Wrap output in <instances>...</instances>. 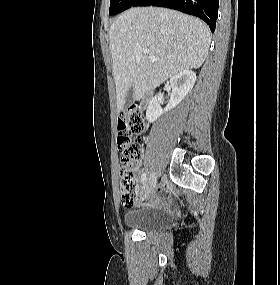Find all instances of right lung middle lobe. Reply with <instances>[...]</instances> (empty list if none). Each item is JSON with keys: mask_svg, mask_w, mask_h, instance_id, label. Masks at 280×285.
I'll use <instances>...</instances> for the list:
<instances>
[{"mask_svg": "<svg viewBox=\"0 0 280 285\" xmlns=\"http://www.w3.org/2000/svg\"><path fill=\"white\" fill-rule=\"evenodd\" d=\"M138 0H110L109 14L115 15L130 7H132Z\"/></svg>", "mask_w": 280, "mask_h": 285, "instance_id": "obj_1", "label": "right lung middle lobe"}]
</instances>
